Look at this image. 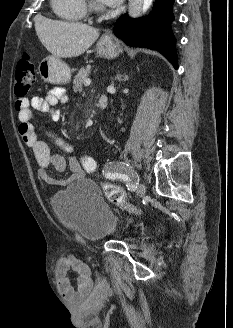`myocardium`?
<instances>
[{
	"label": "myocardium",
	"instance_id": "f54148a6",
	"mask_svg": "<svg viewBox=\"0 0 233 328\" xmlns=\"http://www.w3.org/2000/svg\"><path fill=\"white\" fill-rule=\"evenodd\" d=\"M89 8L94 12L103 11L102 7L95 0H88Z\"/></svg>",
	"mask_w": 233,
	"mask_h": 328
}]
</instances>
